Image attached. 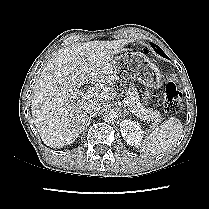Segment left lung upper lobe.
<instances>
[{
    "label": "left lung upper lobe",
    "instance_id": "5c2ea615",
    "mask_svg": "<svg viewBox=\"0 0 209 209\" xmlns=\"http://www.w3.org/2000/svg\"><path fill=\"white\" fill-rule=\"evenodd\" d=\"M151 46L153 47L154 51L158 53L160 56L167 58V55L158 47L156 44L151 43Z\"/></svg>",
    "mask_w": 209,
    "mask_h": 209
}]
</instances>
